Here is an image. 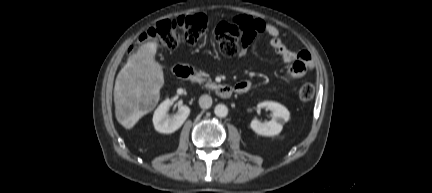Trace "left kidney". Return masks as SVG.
Segmentation results:
<instances>
[{
	"label": "left kidney",
	"mask_w": 432,
	"mask_h": 193,
	"mask_svg": "<svg viewBox=\"0 0 432 193\" xmlns=\"http://www.w3.org/2000/svg\"><path fill=\"white\" fill-rule=\"evenodd\" d=\"M257 108H266L272 111V120L270 121L260 122L257 119L251 121V129L262 136L278 135L283 129V124L290 118L288 109L277 102L264 101L259 103Z\"/></svg>",
	"instance_id": "1"
}]
</instances>
